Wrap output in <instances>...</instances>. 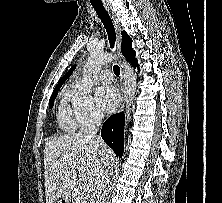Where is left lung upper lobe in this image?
I'll return each instance as SVG.
<instances>
[{
  "label": "left lung upper lobe",
  "instance_id": "left-lung-upper-lobe-1",
  "mask_svg": "<svg viewBox=\"0 0 222 203\" xmlns=\"http://www.w3.org/2000/svg\"><path fill=\"white\" fill-rule=\"evenodd\" d=\"M132 40L131 38L127 35L125 31L122 32V44H121V51L122 54L128 59L131 57L135 51L132 48Z\"/></svg>",
  "mask_w": 222,
  "mask_h": 203
}]
</instances>
